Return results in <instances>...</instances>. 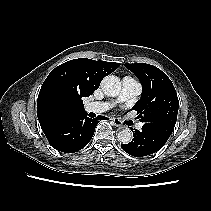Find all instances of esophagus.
Listing matches in <instances>:
<instances>
[{
	"label": "esophagus",
	"instance_id": "obj_1",
	"mask_svg": "<svg viewBox=\"0 0 211 211\" xmlns=\"http://www.w3.org/2000/svg\"><path fill=\"white\" fill-rule=\"evenodd\" d=\"M112 122H113L114 126H116L118 128H122L123 127L122 122L119 119H117V118H113Z\"/></svg>",
	"mask_w": 211,
	"mask_h": 211
}]
</instances>
